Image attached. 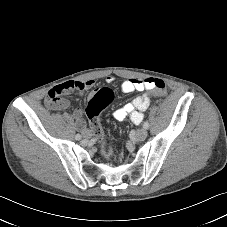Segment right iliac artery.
<instances>
[{"instance_id":"1","label":"right iliac artery","mask_w":227,"mask_h":227,"mask_svg":"<svg viewBox=\"0 0 227 227\" xmlns=\"http://www.w3.org/2000/svg\"><path fill=\"white\" fill-rule=\"evenodd\" d=\"M75 139H76V140H80V139H81V135H80V134H77V135L75 136Z\"/></svg>"}]
</instances>
